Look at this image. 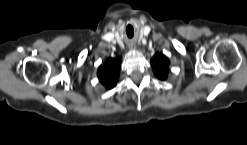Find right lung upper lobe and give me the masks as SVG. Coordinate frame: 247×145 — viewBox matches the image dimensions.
<instances>
[{"label": "right lung upper lobe", "instance_id": "obj_1", "mask_svg": "<svg viewBox=\"0 0 247 145\" xmlns=\"http://www.w3.org/2000/svg\"><path fill=\"white\" fill-rule=\"evenodd\" d=\"M121 58H109L98 69V78L100 82L108 89L116 85L120 73Z\"/></svg>", "mask_w": 247, "mask_h": 145}]
</instances>
